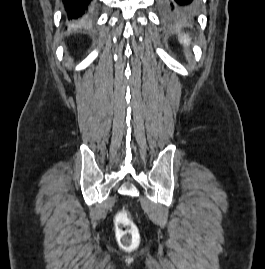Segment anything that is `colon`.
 Segmentation results:
<instances>
[{"label":"colon","mask_w":265,"mask_h":269,"mask_svg":"<svg viewBox=\"0 0 265 269\" xmlns=\"http://www.w3.org/2000/svg\"><path fill=\"white\" fill-rule=\"evenodd\" d=\"M117 231L119 241L123 246L132 245L138 236L137 228L128 214L121 211L117 214Z\"/></svg>","instance_id":"colon-1"}]
</instances>
